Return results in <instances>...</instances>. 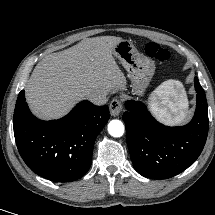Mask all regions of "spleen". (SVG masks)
I'll use <instances>...</instances> for the list:
<instances>
[{
    "mask_svg": "<svg viewBox=\"0 0 215 215\" xmlns=\"http://www.w3.org/2000/svg\"><path fill=\"white\" fill-rule=\"evenodd\" d=\"M150 105L155 115L168 124L183 122L187 116L186 94L182 84L175 80L163 82L150 97Z\"/></svg>",
    "mask_w": 215,
    "mask_h": 215,
    "instance_id": "obj_1",
    "label": "spleen"
}]
</instances>
